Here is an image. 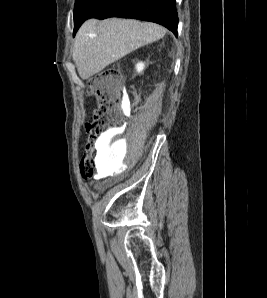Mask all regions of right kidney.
<instances>
[{"label":"right kidney","instance_id":"1","mask_svg":"<svg viewBox=\"0 0 267 298\" xmlns=\"http://www.w3.org/2000/svg\"><path fill=\"white\" fill-rule=\"evenodd\" d=\"M144 67H145V65H144L143 62H138V63L136 64V70H137V72L140 73L141 71H143Z\"/></svg>","mask_w":267,"mask_h":298}]
</instances>
